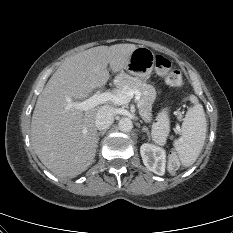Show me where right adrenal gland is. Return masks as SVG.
Returning a JSON list of instances; mask_svg holds the SVG:
<instances>
[{
  "label": "right adrenal gland",
  "instance_id": "1",
  "mask_svg": "<svg viewBox=\"0 0 233 233\" xmlns=\"http://www.w3.org/2000/svg\"><path fill=\"white\" fill-rule=\"evenodd\" d=\"M106 133V131L104 130V131H100V132H98V134H97V139L99 140V136L100 135H104Z\"/></svg>",
  "mask_w": 233,
  "mask_h": 233
}]
</instances>
